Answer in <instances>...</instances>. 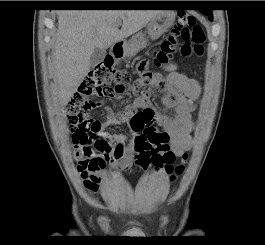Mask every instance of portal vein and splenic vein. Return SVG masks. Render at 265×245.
I'll return each mask as SVG.
<instances>
[{"label": "portal vein and splenic vein", "instance_id": "1", "mask_svg": "<svg viewBox=\"0 0 265 245\" xmlns=\"http://www.w3.org/2000/svg\"><path fill=\"white\" fill-rule=\"evenodd\" d=\"M116 24H117V26H120L121 25V21H118Z\"/></svg>", "mask_w": 265, "mask_h": 245}]
</instances>
